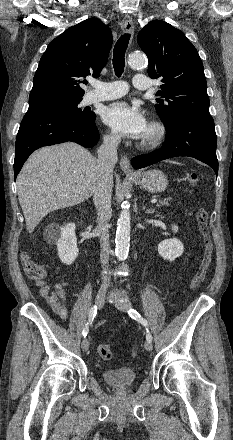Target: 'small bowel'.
<instances>
[{
    "label": "small bowel",
    "instance_id": "c3829d8e",
    "mask_svg": "<svg viewBox=\"0 0 233 440\" xmlns=\"http://www.w3.org/2000/svg\"><path fill=\"white\" fill-rule=\"evenodd\" d=\"M39 294L51 306L54 313L61 319L65 320L68 316L66 308V293L61 283H55L53 286L45 282L37 283Z\"/></svg>",
    "mask_w": 233,
    "mask_h": 440
}]
</instances>
